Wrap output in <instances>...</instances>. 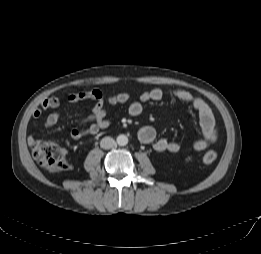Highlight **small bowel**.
<instances>
[{"label": "small bowel", "instance_id": "obj_1", "mask_svg": "<svg viewBox=\"0 0 261 254\" xmlns=\"http://www.w3.org/2000/svg\"><path fill=\"white\" fill-rule=\"evenodd\" d=\"M164 96V92L159 88L143 91L133 101H131V95L128 92H120L105 99L102 91L98 89L69 93L64 99L58 96H49L33 112L31 126L33 129L37 128L43 111L52 110L45 119L44 125L47 129L53 128L60 119L58 109L64 100L68 103L91 100L94 102L91 114L80 120V127H75L71 130V137L73 139H80L86 135H95L100 130L106 129L109 126L110 121L107 117V106L115 107L128 104V114L131 117H137L143 112L144 103L161 101L164 99ZM172 97L189 105L198 114L202 137L193 142L191 148L195 151H202L214 144L218 139V127L209 106L202 99L195 97L183 89L174 90ZM138 137L142 143L151 144L154 150L159 153H178L181 150V146L177 142L165 138H157L155 129L148 125L140 128ZM32 142L33 139L30 137L29 144Z\"/></svg>", "mask_w": 261, "mask_h": 254}]
</instances>
